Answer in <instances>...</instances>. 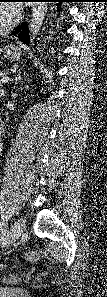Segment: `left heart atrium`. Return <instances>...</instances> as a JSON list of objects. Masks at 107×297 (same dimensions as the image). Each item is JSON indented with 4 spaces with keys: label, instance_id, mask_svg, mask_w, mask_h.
<instances>
[{
    "label": "left heart atrium",
    "instance_id": "left-heart-atrium-1",
    "mask_svg": "<svg viewBox=\"0 0 107 297\" xmlns=\"http://www.w3.org/2000/svg\"><path fill=\"white\" fill-rule=\"evenodd\" d=\"M14 13H15V15L18 13V10L16 9L15 11H14Z\"/></svg>",
    "mask_w": 107,
    "mask_h": 297
}]
</instances>
